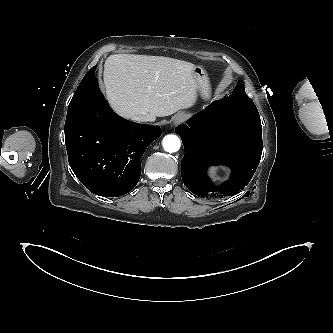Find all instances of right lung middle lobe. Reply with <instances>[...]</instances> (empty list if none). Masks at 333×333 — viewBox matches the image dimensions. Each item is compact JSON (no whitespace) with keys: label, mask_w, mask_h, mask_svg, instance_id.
Masks as SVG:
<instances>
[{"label":"right lung middle lobe","mask_w":333,"mask_h":333,"mask_svg":"<svg viewBox=\"0 0 333 333\" xmlns=\"http://www.w3.org/2000/svg\"><path fill=\"white\" fill-rule=\"evenodd\" d=\"M97 68V65L91 68L86 75L84 76L83 80L77 87V90L69 104L68 110L72 109L75 106H78L82 103V98L86 94V92L89 90L91 85L97 81V78L95 77V70Z\"/></svg>","instance_id":"obj_1"}]
</instances>
